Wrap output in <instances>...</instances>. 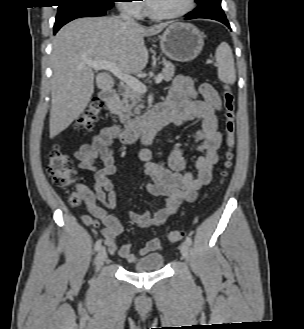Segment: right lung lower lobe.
Segmentation results:
<instances>
[{
  "label": "right lung lower lobe",
  "mask_w": 304,
  "mask_h": 329,
  "mask_svg": "<svg viewBox=\"0 0 304 329\" xmlns=\"http://www.w3.org/2000/svg\"><path fill=\"white\" fill-rule=\"evenodd\" d=\"M106 14V10L101 9H79L69 13H66L60 17L56 18L54 24V34L66 23L80 17H93V16H102Z\"/></svg>",
  "instance_id": "right-lung-lower-lobe-1"
}]
</instances>
